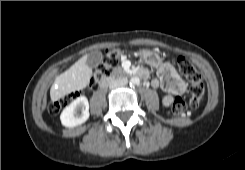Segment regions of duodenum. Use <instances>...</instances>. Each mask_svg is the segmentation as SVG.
I'll list each match as a JSON object with an SVG mask.
<instances>
[{
    "label": "duodenum",
    "mask_w": 245,
    "mask_h": 170,
    "mask_svg": "<svg viewBox=\"0 0 245 170\" xmlns=\"http://www.w3.org/2000/svg\"><path fill=\"white\" fill-rule=\"evenodd\" d=\"M138 75H139L140 77H142V78H145L146 75H147V73H146V71H145L144 69H140V70L138 71ZM117 76H122V75H117ZM109 82H110V79H109V78H106V79L102 80V81L100 82L99 88H100V89L106 88V87L108 86Z\"/></svg>",
    "instance_id": "1"
}]
</instances>
